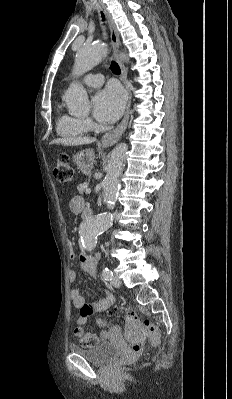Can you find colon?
I'll return each instance as SVG.
<instances>
[{"instance_id":"5ec220e1","label":"colon","mask_w":232,"mask_h":399,"mask_svg":"<svg viewBox=\"0 0 232 399\" xmlns=\"http://www.w3.org/2000/svg\"><path fill=\"white\" fill-rule=\"evenodd\" d=\"M53 164L56 165V179H65L61 181V184L69 185L70 180H73V165L70 164V159L57 157ZM97 322H100V319H97ZM124 326L128 328L127 335L130 340H121V353H144L145 330L139 317L128 313ZM146 327L154 328L155 322L147 321ZM79 346L98 347V342H95V333H79Z\"/></svg>"}]
</instances>
